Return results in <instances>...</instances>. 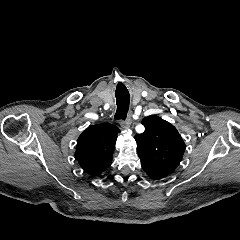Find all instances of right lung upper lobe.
<instances>
[{
    "mask_svg": "<svg viewBox=\"0 0 240 240\" xmlns=\"http://www.w3.org/2000/svg\"><path fill=\"white\" fill-rule=\"evenodd\" d=\"M119 129L111 124L89 126L78 138L75 157L90 176L102 174L110 165Z\"/></svg>",
    "mask_w": 240,
    "mask_h": 240,
    "instance_id": "cb5924a9",
    "label": "right lung upper lobe"
}]
</instances>
